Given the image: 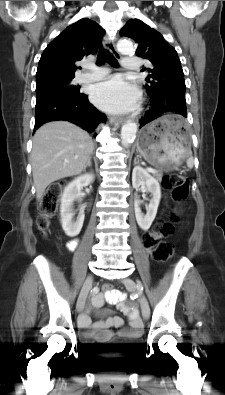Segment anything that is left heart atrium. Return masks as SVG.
I'll return each mask as SVG.
<instances>
[{"instance_id": "39dd6f15", "label": "left heart atrium", "mask_w": 225, "mask_h": 395, "mask_svg": "<svg viewBox=\"0 0 225 395\" xmlns=\"http://www.w3.org/2000/svg\"><path fill=\"white\" fill-rule=\"evenodd\" d=\"M92 101L100 108L119 113L131 110L138 100V92L119 76L97 84L91 93Z\"/></svg>"}]
</instances>
